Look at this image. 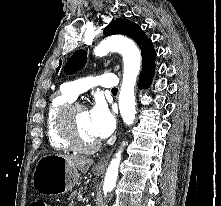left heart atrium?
Masks as SVG:
<instances>
[{"label":"left heart atrium","mask_w":221,"mask_h":206,"mask_svg":"<svg viewBox=\"0 0 221 206\" xmlns=\"http://www.w3.org/2000/svg\"><path fill=\"white\" fill-rule=\"evenodd\" d=\"M87 113L90 131L96 139L106 138L113 133L115 118L105 104L96 103Z\"/></svg>","instance_id":"obj_1"}]
</instances>
